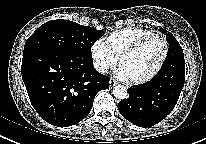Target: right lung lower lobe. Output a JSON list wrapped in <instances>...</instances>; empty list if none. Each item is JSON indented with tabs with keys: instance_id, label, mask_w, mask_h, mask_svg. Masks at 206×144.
<instances>
[{
	"instance_id": "1",
	"label": "right lung lower lobe",
	"mask_w": 206,
	"mask_h": 144,
	"mask_svg": "<svg viewBox=\"0 0 206 144\" xmlns=\"http://www.w3.org/2000/svg\"><path fill=\"white\" fill-rule=\"evenodd\" d=\"M21 72L36 112L57 127L83 120L96 94L109 88V77L94 69L93 60L52 49L23 53Z\"/></svg>"
}]
</instances>
